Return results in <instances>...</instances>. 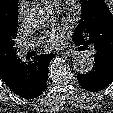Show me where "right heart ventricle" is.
Wrapping results in <instances>:
<instances>
[{
  "mask_svg": "<svg viewBox=\"0 0 113 113\" xmlns=\"http://www.w3.org/2000/svg\"><path fill=\"white\" fill-rule=\"evenodd\" d=\"M49 8H57L62 0H41Z\"/></svg>",
  "mask_w": 113,
  "mask_h": 113,
  "instance_id": "1",
  "label": "right heart ventricle"
}]
</instances>
